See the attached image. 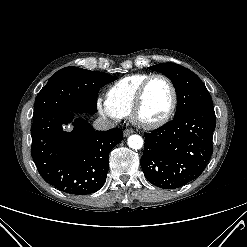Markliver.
I'll return each mask as SVG.
<instances>
[{"instance_id":"liver-1","label":"liver","mask_w":247,"mask_h":247,"mask_svg":"<svg viewBox=\"0 0 247 247\" xmlns=\"http://www.w3.org/2000/svg\"><path fill=\"white\" fill-rule=\"evenodd\" d=\"M66 130H67V131L71 130V127H70V126H67V127H66Z\"/></svg>"}]
</instances>
